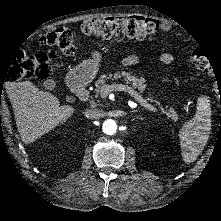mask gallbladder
Returning <instances> with one entry per match:
<instances>
[{"mask_svg": "<svg viewBox=\"0 0 221 221\" xmlns=\"http://www.w3.org/2000/svg\"><path fill=\"white\" fill-rule=\"evenodd\" d=\"M52 85H55V82L53 79H48L46 81H44L43 86L45 87V89L51 90L52 89Z\"/></svg>", "mask_w": 221, "mask_h": 221, "instance_id": "1", "label": "gallbladder"}]
</instances>
